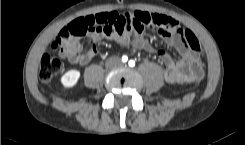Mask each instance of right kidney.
Wrapping results in <instances>:
<instances>
[{"label":"right kidney","instance_id":"ca27d5eb","mask_svg":"<svg viewBox=\"0 0 245 145\" xmlns=\"http://www.w3.org/2000/svg\"><path fill=\"white\" fill-rule=\"evenodd\" d=\"M80 78V71L69 70L61 77V83L64 87H73Z\"/></svg>","mask_w":245,"mask_h":145}]
</instances>
